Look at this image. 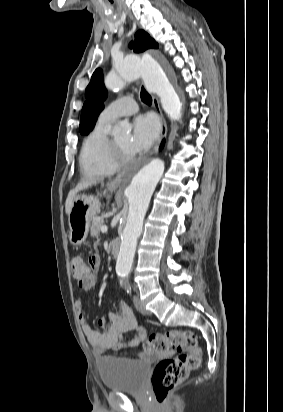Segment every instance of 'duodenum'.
<instances>
[{
  "mask_svg": "<svg viewBox=\"0 0 283 412\" xmlns=\"http://www.w3.org/2000/svg\"><path fill=\"white\" fill-rule=\"evenodd\" d=\"M111 253H112V255H113L114 258L119 257V255H120V242L115 241V242L112 244Z\"/></svg>",
  "mask_w": 283,
  "mask_h": 412,
  "instance_id": "obj_1",
  "label": "duodenum"
}]
</instances>
